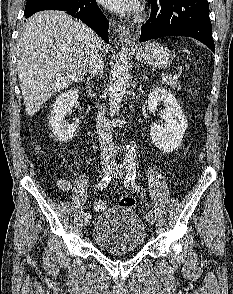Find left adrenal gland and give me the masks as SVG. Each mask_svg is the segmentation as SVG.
<instances>
[{
	"mask_svg": "<svg viewBox=\"0 0 233 294\" xmlns=\"http://www.w3.org/2000/svg\"><path fill=\"white\" fill-rule=\"evenodd\" d=\"M142 76H143V80H144V79H147V77H146V76H144V75H142Z\"/></svg>",
	"mask_w": 233,
	"mask_h": 294,
	"instance_id": "1",
	"label": "left adrenal gland"
}]
</instances>
